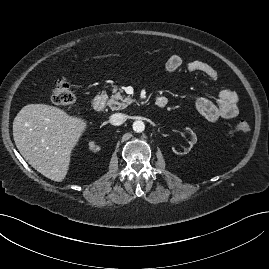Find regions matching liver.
<instances>
[{
    "label": "liver",
    "mask_w": 269,
    "mask_h": 269,
    "mask_svg": "<svg viewBox=\"0 0 269 269\" xmlns=\"http://www.w3.org/2000/svg\"><path fill=\"white\" fill-rule=\"evenodd\" d=\"M87 121L47 104L24 106L13 121V137L23 158L45 177L62 182L71 153Z\"/></svg>",
    "instance_id": "1"
}]
</instances>
